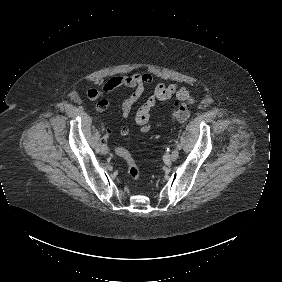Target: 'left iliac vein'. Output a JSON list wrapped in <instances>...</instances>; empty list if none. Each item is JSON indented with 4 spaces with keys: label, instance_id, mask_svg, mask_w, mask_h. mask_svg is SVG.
I'll return each mask as SVG.
<instances>
[{
    "label": "left iliac vein",
    "instance_id": "1",
    "mask_svg": "<svg viewBox=\"0 0 282 282\" xmlns=\"http://www.w3.org/2000/svg\"><path fill=\"white\" fill-rule=\"evenodd\" d=\"M179 157V151L177 149H174L170 155V160L175 161Z\"/></svg>",
    "mask_w": 282,
    "mask_h": 282
}]
</instances>
